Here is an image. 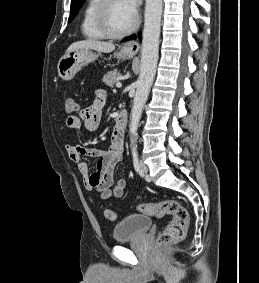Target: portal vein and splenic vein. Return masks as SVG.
<instances>
[{"instance_id": "obj_1", "label": "portal vein and splenic vein", "mask_w": 259, "mask_h": 283, "mask_svg": "<svg viewBox=\"0 0 259 283\" xmlns=\"http://www.w3.org/2000/svg\"><path fill=\"white\" fill-rule=\"evenodd\" d=\"M116 87L120 88V87H122V84L120 82H117Z\"/></svg>"}]
</instances>
